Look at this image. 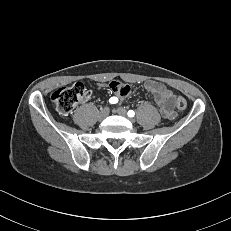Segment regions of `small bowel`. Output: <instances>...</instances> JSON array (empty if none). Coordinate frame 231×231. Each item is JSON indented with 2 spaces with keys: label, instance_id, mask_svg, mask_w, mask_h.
<instances>
[{
  "label": "small bowel",
  "instance_id": "obj_1",
  "mask_svg": "<svg viewBox=\"0 0 231 231\" xmlns=\"http://www.w3.org/2000/svg\"><path fill=\"white\" fill-rule=\"evenodd\" d=\"M111 89L121 96H125L129 92V87L122 83H112ZM145 89L151 93L154 97L156 104L159 107L160 114L165 119H174L176 112L174 111L171 101L173 99V93L168 90L163 84L156 81H147L145 83Z\"/></svg>",
  "mask_w": 231,
  "mask_h": 231
}]
</instances>
